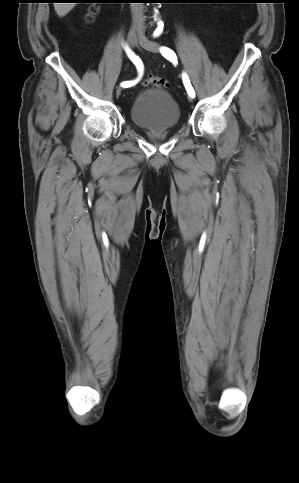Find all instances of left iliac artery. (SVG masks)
Listing matches in <instances>:
<instances>
[{"mask_svg": "<svg viewBox=\"0 0 299 483\" xmlns=\"http://www.w3.org/2000/svg\"><path fill=\"white\" fill-rule=\"evenodd\" d=\"M160 29L158 28L155 33H154V36H158L160 34ZM160 52L161 54L168 60L170 61H174L177 59V56L175 54V52L173 50H171L170 48L168 47H161L160 48ZM182 80H183V83H184V86L187 90V93L188 95L191 97V98H194L195 97V91L190 83V80H189V77L186 73H183L182 74Z\"/></svg>", "mask_w": 299, "mask_h": 483, "instance_id": "44dca946", "label": "left iliac artery"}]
</instances>
